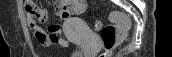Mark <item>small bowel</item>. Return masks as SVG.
<instances>
[{"mask_svg":"<svg viewBox=\"0 0 172 57\" xmlns=\"http://www.w3.org/2000/svg\"><path fill=\"white\" fill-rule=\"evenodd\" d=\"M36 6V4L27 0L24 2L25 10L28 4ZM54 6L56 7L57 16L63 21V25L59 24H50L47 28L42 27L39 23H43L47 19V11L45 9H40L41 13L38 15H31L26 13V21L31 31L34 33L38 43L44 47H49L52 45H59L61 47H68L69 41L66 40L61 35V28L65 27L66 21L73 14H79L86 8V1L84 0H71L63 1L57 0L54 1Z\"/></svg>","mask_w":172,"mask_h":57,"instance_id":"c3829d8e","label":"small bowel"}]
</instances>
